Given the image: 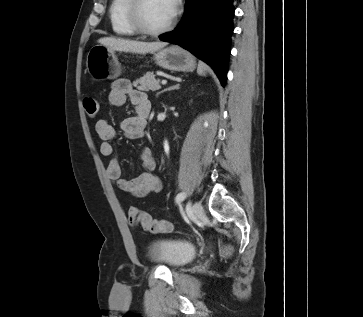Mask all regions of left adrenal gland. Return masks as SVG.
<instances>
[{
    "instance_id": "left-adrenal-gland-1",
    "label": "left adrenal gland",
    "mask_w": 363,
    "mask_h": 317,
    "mask_svg": "<svg viewBox=\"0 0 363 317\" xmlns=\"http://www.w3.org/2000/svg\"><path fill=\"white\" fill-rule=\"evenodd\" d=\"M179 86H180V84H176V85H173V86H171V87H169V88H166V89H164V90H162V91L158 92V93L156 94V96L158 97L161 93H163V92H165V91H171V90H174V89H179Z\"/></svg>"
}]
</instances>
